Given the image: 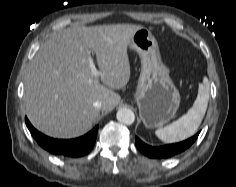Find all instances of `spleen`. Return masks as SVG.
Returning <instances> with one entry per match:
<instances>
[{"mask_svg": "<svg viewBox=\"0 0 236 187\" xmlns=\"http://www.w3.org/2000/svg\"><path fill=\"white\" fill-rule=\"evenodd\" d=\"M207 97V90L200 86L197 99L188 113L172 124L157 129L156 136L163 142L169 143L186 139L194 134L205 114Z\"/></svg>", "mask_w": 236, "mask_h": 187, "instance_id": "obj_1", "label": "spleen"}]
</instances>
